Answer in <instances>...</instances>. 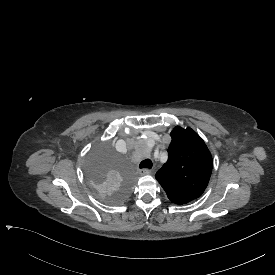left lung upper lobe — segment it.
<instances>
[{
	"mask_svg": "<svg viewBox=\"0 0 275 275\" xmlns=\"http://www.w3.org/2000/svg\"><path fill=\"white\" fill-rule=\"evenodd\" d=\"M168 160L155 175L170 201L186 204L205 190L212 172V156L201 137L191 128L171 132Z\"/></svg>",
	"mask_w": 275,
	"mask_h": 275,
	"instance_id": "5c2ea615",
	"label": "left lung upper lobe"
}]
</instances>
